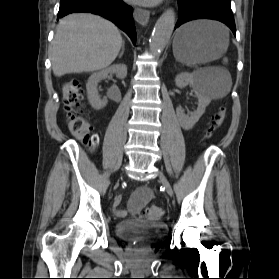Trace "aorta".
<instances>
[{
	"instance_id": "762f6f07",
	"label": "aorta",
	"mask_w": 279,
	"mask_h": 279,
	"mask_svg": "<svg viewBox=\"0 0 279 279\" xmlns=\"http://www.w3.org/2000/svg\"><path fill=\"white\" fill-rule=\"evenodd\" d=\"M176 23V15L173 9H167L157 20L150 40V51L159 55L167 45Z\"/></svg>"
}]
</instances>
